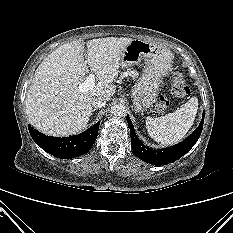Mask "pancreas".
<instances>
[{"instance_id":"1","label":"pancreas","mask_w":233,"mask_h":233,"mask_svg":"<svg viewBox=\"0 0 233 233\" xmlns=\"http://www.w3.org/2000/svg\"><path fill=\"white\" fill-rule=\"evenodd\" d=\"M131 76L136 78L138 76V72L136 70L128 68L125 72L122 73V77Z\"/></svg>"}]
</instances>
